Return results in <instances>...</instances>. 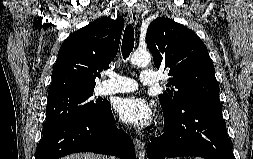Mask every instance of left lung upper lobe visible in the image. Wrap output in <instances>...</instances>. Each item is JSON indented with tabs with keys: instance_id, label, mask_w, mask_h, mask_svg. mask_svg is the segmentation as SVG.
<instances>
[{
	"instance_id": "1",
	"label": "left lung upper lobe",
	"mask_w": 253,
	"mask_h": 159,
	"mask_svg": "<svg viewBox=\"0 0 253 159\" xmlns=\"http://www.w3.org/2000/svg\"><path fill=\"white\" fill-rule=\"evenodd\" d=\"M146 39L155 66L169 70L168 86L174 87L159 95L164 114L173 115L192 102L220 104L214 65L192 30L160 17L149 25Z\"/></svg>"
}]
</instances>
